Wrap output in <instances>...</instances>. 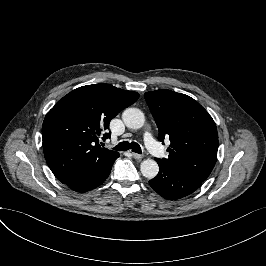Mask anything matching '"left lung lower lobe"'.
<instances>
[{
  "label": "left lung lower lobe",
  "mask_w": 266,
  "mask_h": 266,
  "mask_svg": "<svg viewBox=\"0 0 266 266\" xmlns=\"http://www.w3.org/2000/svg\"><path fill=\"white\" fill-rule=\"evenodd\" d=\"M159 165L158 175L149 181L150 186L168 200L180 199L196 191L202 180L179 171L155 159Z\"/></svg>",
  "instance_id": "1"
}]
</instances>
